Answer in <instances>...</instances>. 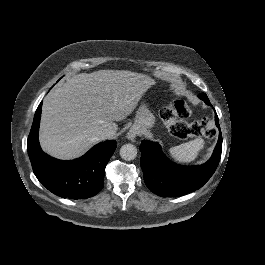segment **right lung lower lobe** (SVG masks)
Segmentation results:
<instances>
[{
  "label": "right lung lower lobe",
  "instance_id": "obj_1",
  "mask_svg": "<svg viewBox=\"0 0 265 265\" xmlns=\"http://www.w3.org/2000/svg\"><path fill=\"white\" fill-rule=\"evenodd\" d=\"M42 102L34 115L28 137V155L40 183L53 194L69 199H86L104 186L105 167L116 149V141L95 145L82 157L62 161L50 157L40 148L38 130Z\"/></svg>",
  "mask_w": 265,
  "mask_h": 265
}]
</instances>
